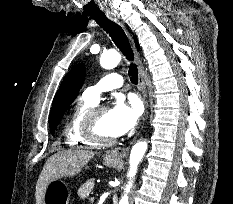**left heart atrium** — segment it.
<instances>
[{"label": "left heart atrium", "mask_w": 233, "mask_h": 204, "mask_svg": "<svg viewBox=\"0 0 233 204\" xmlns=\"http://www.w3.org/2000/svg\"><path fill=\"white\" fill-rule=\"evenodd\" d=\"M140 114L141 107L136 100H130L129 102L118 100L109 111L114 134L121 136L133 129Z\"/></svg>", "instance_id": "39dd6f15"}]
</instances>
